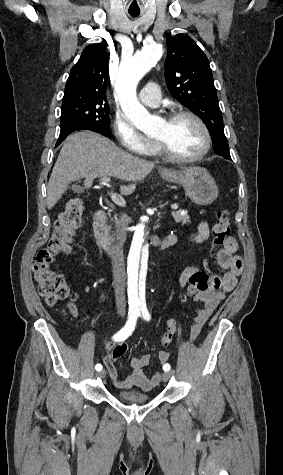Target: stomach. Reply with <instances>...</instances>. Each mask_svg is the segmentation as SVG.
<instances>
[{"label":"stomach","instance_id":"stomach-1","mask_svg":"<svg viewBox=\"0 0 283 475\" xmlns=\"http://www.w3.org/2000/svg\"><path fill=\"white\" fill-rule=\"evenodd\" d=\"M159 174L163 180L183 186L186 196L198 206L212 204L218 196L216 182L205 168L195 166L182 170H159Z\"/></svg>","mask_w":283,"mask_h":475}]
</instances>
